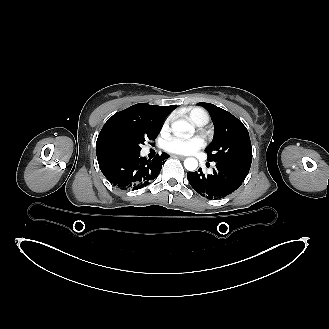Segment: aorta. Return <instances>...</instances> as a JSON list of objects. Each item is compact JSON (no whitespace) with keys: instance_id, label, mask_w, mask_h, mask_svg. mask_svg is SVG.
I'll return each mask as SVG.
<instances>
[{"instance_id":"aorta-1","label":"aorta","mask_w":329,"mask_h":329,"mask_svg":"<svg viewBox=\"0 0 329 329\" xmlns=\"http://www.w3.org/2000/svg\"><path fill=\"white\" fill-rule=\"evenodd\" d=\"M171 127H172V130L174 133L179 134V135L185 133L186 137L193 136L194 131H195L194 127L185 120L176 121V122L172 123ZM184 166L188 171H191V172L195 171L198 167V161L192 157L187 158L184 161Z\"/></svg>"}]
</instances>
